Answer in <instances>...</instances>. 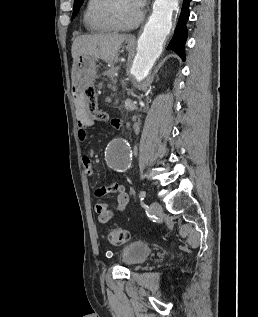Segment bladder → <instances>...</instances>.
<instances>
[{"instance_id":"bladder-1","label":"bladder","mask_w":258,"mask_h":317,"mask_svg":"<svg viewBox=\"0 0 258 317\" xmlns=\"http://www.w3.org/2000/svg\"><path fill=\"white\" fill-rule=\"evenodd\" d=\"M152 252L146 243L135 241L121 250V261L126 266H133L145 260Z\"/></svg>"}]
</instances>
